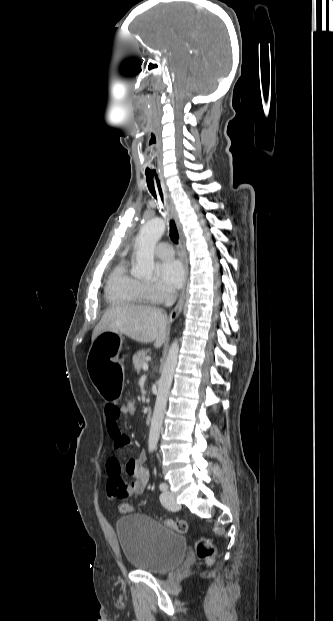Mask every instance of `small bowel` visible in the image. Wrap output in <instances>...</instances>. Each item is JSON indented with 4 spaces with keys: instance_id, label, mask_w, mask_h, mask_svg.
I'll use <instances>...</instances> for the list:
<instances>
[{
    "instance_id": "obj_1",
    "label": "small bowel",
    "mask_w": 333,
    "mask_h": 621,
    "mask_svg": "<svg viewBox=\"0 0 333 621\" xmlns=\"http://www.w3.org/2000/svg\"><path fill=\"white\" fill-rule=\"evenodd\" d=\"M122 414L123 411L119 405L110 403L104 408L107 433L112 438L115 448H124L132 444L130 438L120 428L119 419ZM144 460L143 453L136 458H129L123 465L116 457H110L107 460L106 493L110 499L132 497L145 490L149 481V472L143 466ZM123 474L132 477V481H125L122 478Z\"/></svg>"
}]
</instances>
